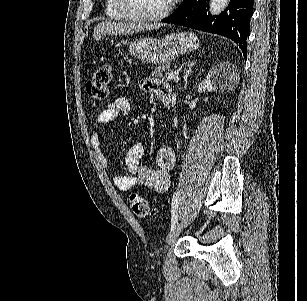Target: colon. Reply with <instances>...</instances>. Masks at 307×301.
<instances>
[{
    "label": "colon",
    "instance_id": "colon-1",
    "mask_svg": "<svg viewBox=\"0 0 307 301\" xmlns=\"http://www.w3.org/2000/svg\"><path fill=\"white\" fill-rule=\"evenodd\" d=\"M111 76L112 72L109 65L99 67L86 83V91L88 95L95 100H105L108 96ZM128 202L130 208L136 216L146 219L153 215L149 203L140 194H130L128 197Z\"/></svg>",
    "mask_w": 307,
    "mask_h": 301
}]
</instances>
